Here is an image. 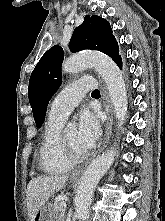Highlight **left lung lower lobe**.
Returning <instances> with one entry per match:
<instances>
[{
  "mask_svg": "<svg viewBox=\"0 0 165 221\" xmlns=\"http://www.w3.org/2000/svg\"><path fill=\"white\" fill-rule=\"evenodd\" d=\"M116 64L119 66V68H122V60H121V58H119V59L116 61Z\"/></svg>",
  "mask_w": 165,
  "mask_h": 221,
  "instance_id": "obj_1",
  "label": "left lung lower lobe"
}]
</instances>
